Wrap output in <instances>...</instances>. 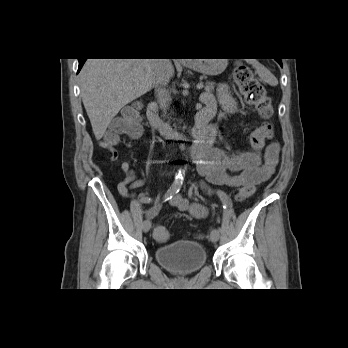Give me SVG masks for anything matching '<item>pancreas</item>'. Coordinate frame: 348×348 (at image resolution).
Segmentation results:
<instances>
[{
    "instance_id": "cf45deb5",
    "label": "pancreas",
    "mask_w": 348,
    "mask_h": 348,
    "mask_svg": "<svg viewBox=\"0 0 348 348\" xmlns=\"http://www.w3.org/2000/svg\"><path fill=\"white\" fill-rule=\"evenodd\" d=\"M215 89V84L213 82H207L205 86V91L213 92Z\"/></svg>"
}]
</instances>
